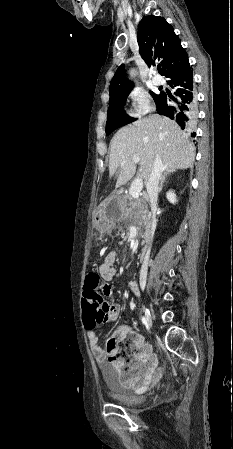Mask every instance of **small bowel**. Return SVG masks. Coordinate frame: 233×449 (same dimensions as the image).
<instances>
[{
	"label": "small bowel",
	"mask_w": 233,
	"mask_h": 449,
	"mask_svg": "<svg viewBox=\"0 0 233 449\" xmlns=\"http://www.w3.org/2000/svg\"><path fill=\"white\" fill-rule=\"evenodd\" d=\"M117 260L118 253L116 251H110L106 254L103 263L98 266L99 275L103 280L101 283L102 286L99 289L102 291L101 297L105 299L100 302V305L104 308L102 323L116 320L120 312V306L113 304L109 300L114 295L112 287L105 283L111 281L116 275L115 263ZM125 289H130L134 295H140L142 293L138 283H134L132 286H125ZM96 329L86 328L92 353L102 373L107 374L113 372L123 386L133 389L145 388L154 377V371L158 362L152 347L144 341L141 335L133 333V343L131 345L133 355L130 365L127 366L122 358H119L117 361H111L107 350H104L100 344ZM137 395L142 399L146 394L141 390Z\"/></svg>",
	"instance_id": "small-bowel-1"
}]
</instances>
